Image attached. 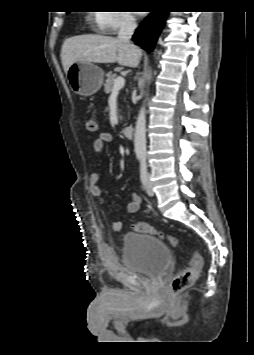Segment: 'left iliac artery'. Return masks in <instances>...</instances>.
Listing matches in <instances>:
<instances>
[{"label":"left iliac artery","instance_id":"44dca946","mask_svg":"<svg viewBox=\"0 0 254 355\" xmlns=\"http://www.w3.org/2000/svg\"><path fill=\"white\" fill-rule=\"evenodd\" d=\"M140 175H141V181L145 186L147 182V165H146L145 157L141 158Z\"/></svg>","mask_w":254,"mask_h":355}]
</instances>
